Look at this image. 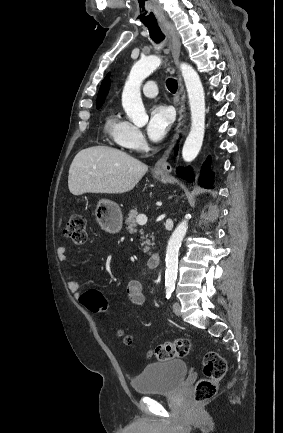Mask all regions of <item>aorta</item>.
Here are the masks:
<instances>
[{
  "label": "aorta",
  "instance_id": "obj_1",
  "mask_svg": "<svg viewBox=\"0 0 283 433\" xmlns=\"http://www.w3.org/2000/svg\"><path fill=\"white\" fill-rule=\"evenodd\" d=\"M161 64L158 56L151 55L137 61L128 76L122 93V106L136 126H144L148 121L142 98L141 84ZM180 70L188 93L191 128L182 149L184 161L194 160L203 143L205 133V94L198 73L186 63L180 64ZM187 231V221H182L172 233L166 250L165 286H175L178 268V252Z\"/></svg>",
  "mask_w": 283,
  "mask_h": 433
}]
</instances>
